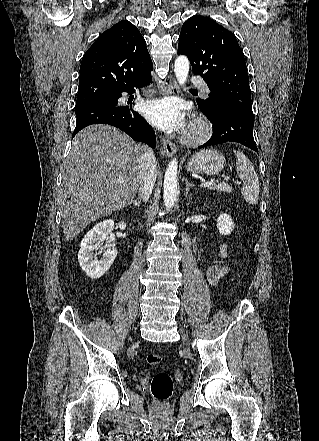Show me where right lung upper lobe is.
<instances>
[{"instance_id":"right-lung-upper-lobe-1","label":"right lung upper lobe","mask_w":319,"mask_h":441,"mask_svg":"<svg viewBox=\"0 0 319 441\" xmlns=\"http://www.w3.org/2000/svg\"><path fill=\"white\" fill-rule=\"evenodd\" d=\"M152 68L139 30L129 21H120L103 32L84 54L77 102L109 98L146 76Z\"/></svg>"}]
</instances>
